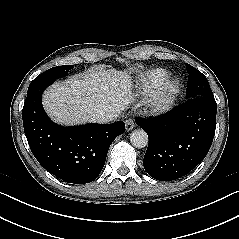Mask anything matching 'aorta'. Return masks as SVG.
I'll use <instances>...</instances> for the list:
<instances>
[{
  "instance_id": "762f6f07",
  "label": "aorta",
  "mask_w": 239,
  "mask_h": 239,
  "mask_svg": "<svg viewBox=\"0 0 239 239\" xmlns=\"http://www.w3.org/2000/svg\"><path fill=\"white\" fill-rule=\"evenodd\" d=\"M130 142L136 148H144L148 145V135L142 129H136L130 134Z\"/></svg>"
}]
</instances>
